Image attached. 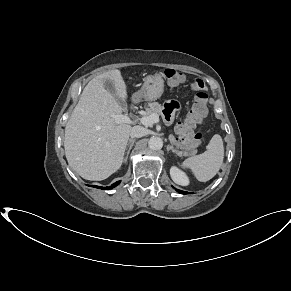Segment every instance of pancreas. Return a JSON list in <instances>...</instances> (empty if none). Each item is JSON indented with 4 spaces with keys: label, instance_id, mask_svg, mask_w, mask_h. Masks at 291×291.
Instances as JSON below:
<instances>
[{
    "label": "pancreas",
    "instance_id": "1",
    "mask_svg": "<svg viewBox=\"0 0 291 291\" xmlns=\"http://www.w3.org/2000/svg\"><path fill=\"white\" fill-rule=\"evenodd\" d=\"M161 112H162V106H161V104H159L158 102H152V103H149L148 108H146L145 116H149V115H151L153 113H156V114L160 115ZM169 140L172 143L175 142V138H174V136L172 134L169 135ZM195 153H196V150L195 149H193V150H191L189 152L179 151V154L181 156L194 155Z\"/></svg>",
    "mask_w": 291,
    "mask_h": 291
}]
</instances>
